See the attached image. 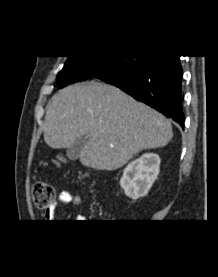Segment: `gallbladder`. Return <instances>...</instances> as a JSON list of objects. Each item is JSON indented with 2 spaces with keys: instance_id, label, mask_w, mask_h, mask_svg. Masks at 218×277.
Listing matches in <instances>:
<instances>
[{
  "instance_id": "gallbladder-1",
  "label": "gallbladder",
  "mask_w": 218,
  "mask_h": 277,
  "mask_svg": "<svg viewBox=\"0 0 218 277\" xmlns=\"http://www.w3.org/2000/svg\"><path fill=\"white\" fill-rule=\"evenodd\" d=\"M87 143V139L86 137L82 136L76 139V141L74 142V144L72 146H70L67 151H66V155L70 160H76L79 158L80 153L82 151V149L84 148V146Z\"/></svg>"
}]
</instances>
